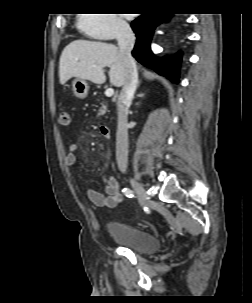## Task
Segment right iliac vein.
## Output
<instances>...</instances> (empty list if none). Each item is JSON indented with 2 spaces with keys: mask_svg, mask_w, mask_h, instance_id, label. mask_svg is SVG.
Here are the masks:
<instances>
[{
  "mask_svg": "<svg viewBox=\"0 0 252 303\" xmlns=\"http://www.w3.org/2000/svg\"><path fill=\"white\" fill-rule=\"evenodd\" d=\"M129 182L131 184V186L133 187L135 193L139 196L142 204L144 206H147L149 204V200L148 197L146 195V192L144 190V187L134 178H129Z\"/></svg>",
  "mask_w": 252,
  "mask_h": 303,
  "instance_id": "1",
  "label": "right iliac vein"
}]
</instances>
